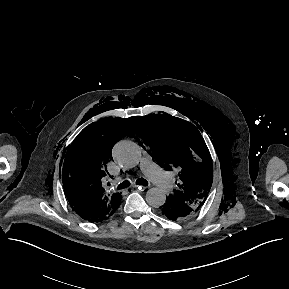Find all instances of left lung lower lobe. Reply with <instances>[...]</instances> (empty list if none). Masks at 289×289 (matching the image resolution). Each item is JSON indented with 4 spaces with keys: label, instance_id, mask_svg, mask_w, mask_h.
Wrapping results in <instances>:
<instances>
[{
    "label": "left lung lower lobe",
    "instance_id": "1",
    "mask_svg": "<svg viewBox=\"0 0 289 289\" xmlns=\"http://www.w3.org/2000/svg\"><path fill=\"white\" fill-rule=\"evenodd\" d=\"M163 216L172 221H180L193 215L196 210L191 206L177 202L171 198H167L166 203L159 207Z\"/></svg>",
    "mask_w": 289,
    "mask_h": 289
}]
</instances>
